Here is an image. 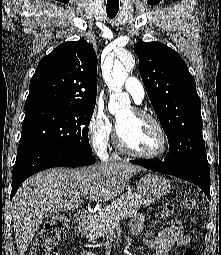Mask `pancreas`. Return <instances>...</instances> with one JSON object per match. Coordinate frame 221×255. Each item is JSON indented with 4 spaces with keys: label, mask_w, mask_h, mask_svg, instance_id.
I'll return each instance as SVG.
<instances>
[{
    "label": "pancreas",
    "mask_w": 221,
    "mask_h": 255,
    "mask_svg": "<svg viewBox=\"0 0 221 255\" xmlns=\"http://www.w3.org/2000/svg\"><path fill=\"white\" fill-rule=\"evenodd\" d=\"M140 195L126 192L104 208L100 215L92 216L86 223V230L91 240L105 236L112 232L120 220L130 218L136 214L142 205H149Z\"/></svg>",
    "instance_id": "cf45deb5"
}]
</instances>
